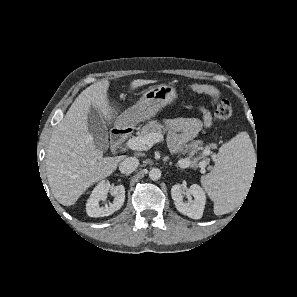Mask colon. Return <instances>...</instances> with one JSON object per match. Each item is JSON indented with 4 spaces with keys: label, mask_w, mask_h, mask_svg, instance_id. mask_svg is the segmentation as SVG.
<instances>
[{
    "label": "colon",
    "mask_w": 297,
    "mask_h": 297,
    "mask_svg": "<svg viewBox=\"0 0 297 297\" xmlns=\"http://www.w3.org/2000/svg\"><path fill=\"white\" fill-rule=\"evenodd\" d=\"M191 90L199 94H207L211 98L213 107L215 108V117L220 121L229 120L233 115L231 104L223 99L220 94L208 85L194 84Z\"/></svg>",
    "instance_id": "colon-1"
}]
</instances>
